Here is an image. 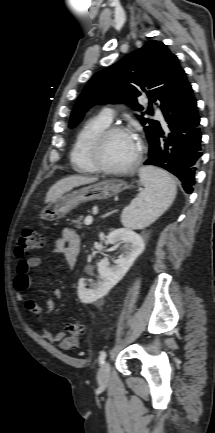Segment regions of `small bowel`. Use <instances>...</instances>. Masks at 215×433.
Listing matches in <instances>:
<instances>
[{
	"instance_id": "c3829d8e",
	"label": "small bowel",
	"mask_w": 215,
	"mask_h": 433,
	"mask_svg": "<svg viewBox=\"0 0 215 433\" xmlns=\"http://www.w3.org/2000/svg\"><path fill=\"white\" fill-rule=\"evenodd\" d=\"M80 250L81 238L78 233L73 229L64 228L55 242L53 252L64 259L67 268H72L77 261ZM40 264L41 259L37 256L20 259L16 267V277L13 283L17 298L22 302L24 310L33 314L36 320H40L41 308L33 299L26 298L24 292L32 284L29 271L40 266ZM60 296V292L54 293V297L59 298ZM40 333L49 342L58 343L63 350H70L79 346L78 338L66 337L64 331L51 332L41 329Z\"/></svg>"
}]
</instances>
